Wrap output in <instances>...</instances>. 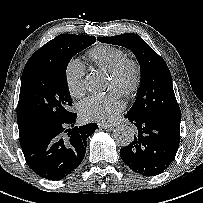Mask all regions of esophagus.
Returning <instances> with one entry per match:
<instances>
[{
    "instance_id": "esophagus-1",
    "label": "esophagus",
    "mask_w": 203,
    "mask_h": 203,
    "mask_svg": "<svg viewBox=\"0 0 203 203\" xmlns=\"http://www.w3.org/2000/svg\"><path fill=\"white\" fill-rule=\"evenodd\" d=\"M98 127L100 129H111L113 127V125L107 124V123H98Z\"/></svg>"
}]
</instances>
